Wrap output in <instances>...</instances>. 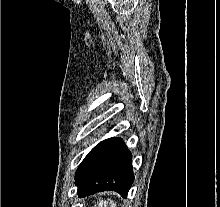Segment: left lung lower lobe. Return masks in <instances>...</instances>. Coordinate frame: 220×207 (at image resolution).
I'll use <instances>...</instances> for the list:
<instances>
[{"label": "left lung lower lobe", "instance_id": "0a47b994", "mask_svg": "<svg viewBox=\"0 0 220 207\" xmlns=\"http://www.w3.org/2000/svg\"><path fill=\"white\" fill-rule=\"evenodd\" d=\"M133 181L132 155L119 138L104 140L94 147L75 174L80 197L106 190L126 197Z\"/></svg>", "mask_w": 220, "mask_h": 207}]
</instances>
